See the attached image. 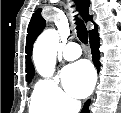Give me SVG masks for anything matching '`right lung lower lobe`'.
<instances>
[{
    "label": "right lung lower lobe",
    "mask_w": 121,
    "mask_h": 113,
    "mask_svg": "<svg viewBox=\"0 0 121 113\" xmlns=\"http://www.w3.org/2000/svg\"><path fill=\"white\" fill-rule=\"evenodd\" d=\"M90 38V47H91V53H92V59L94 65L97 67V71L99 72L100 70V52H99V35L98 32H94L89 35ZM91 100H87L81 113H89V105H90Z\"/></svg>",
    "instance_id": "1"
}]
</instances>
